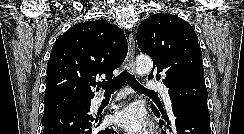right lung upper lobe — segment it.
I'll return each instance as SVG.
<instances>
[{
	"label": "right lung upper lobe",
	"instance_id": "obj_1",
	"mask_svg": "<svg viewBox=\"0 0 244 134\" xmlns=\"http://www.w3.org/2000/svg\"><path fill=\"white\" fill-rule=\"evenodd\" d=\"M127 40L122 30L104 20L74 25L52 47L47 63L44 101L59 97L91 100V87L113 70L127 55Z\"/></svg>",
	"mask_w": 244,
	"mask_h": 134
}]
</instances>
